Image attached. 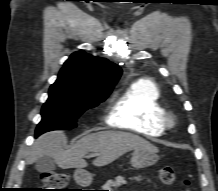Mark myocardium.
<instances>
[{
	"label": "myocardium",
	"mask_w": 218,
	"mask_h": 191,
	"mask_svg": "<svg viewBox=\"0 0 218 191\" xmlns=\"http://www.w3.org/2000/svg\"><path fill=\"white\" fill-rule=\"evenodd\" d=\"M164 127L173 128L177 124V116L172 111H165L162 117Z\"/></svg>",
	"instance_id": "obj_1"
}]
</instances>
